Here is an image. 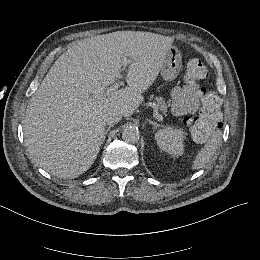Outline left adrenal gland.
Listing matches in <instances>:
<instances>
[{"label":"left adrenal gland","mask_w":260,"mask_h":260,"mask_svg":"<svg viewBox=\"0 0 260 260\" xmlns=\"http://www.w3.org/2000/svg\"><path fill=\"white\" fill-rule=\"evenodd\" d=\"M147 121H148L151 125L154 126L153 131H156L158 128H164V125H161V124H159V123H157V122H154V121H152V120H150V119H148Z\"/></svg>","instance_id":"obj_1"}]
</instances>
